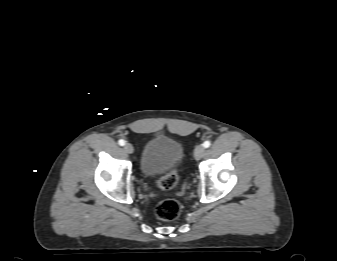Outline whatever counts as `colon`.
Instances as JSON below:
<instances>
[{
	"label": "colon",
	"instance_id": "obj_1",
	"mask_svg": "<svg viewBox=\"0 0 337 261\" xmlns=\"http://www.w3.org/2000/svg\"><path fill=\"white\" fill-rule=\"evenodd\" d=\"M179 176L176 169L171 170L167 175L162 177L157 185L161 189L170 190L178 184ZM180 204L173 199H167L160 202L156 207V215L164 221H172L180 214Z\"/></svg>",
	"mask_w": 337,
	"mask_h": 261
}]
</instances>
